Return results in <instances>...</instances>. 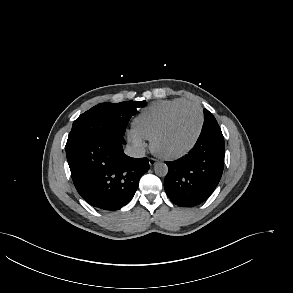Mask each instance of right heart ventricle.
Listing matches in <instances>:
<instances>
[{
  "instance_id": "obj_1",
  "label": "right heart ventricle",
  "mask_w": 293,
  "mask_h": 293,
  "mask_svg": "<svg viewBox=\"0 0 293 293\" xmlns=\"http://www.w3.org/2000/svg\"><path fill=\"white\" fill-rule=\"evenodd\" d=\"M188 102L184 98H175L150 104L133 120V131L144 139H151L169 113Z\"/></svg>"
}]
</instances>
